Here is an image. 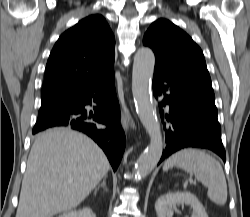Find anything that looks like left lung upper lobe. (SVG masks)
I'll list each match as a JSON object with an SVG mask.
<instances>
[{"label": "left lung upper lobe", "mask_w": 250, "mask_h": 217, "mask_svg": "<svg viewBox=\"0 0 250 217\" xmlns=\"http://www.w3.org/2000/svg\"><path fill=\"white\" fill-rule=\"evenodd\" d=\"M143 44L155 53V69L166 74L211 80L200 47L183 30L158 19L144 35Z\"/></svg>", "instance_id": "5c2ea615"}]
</instances>
